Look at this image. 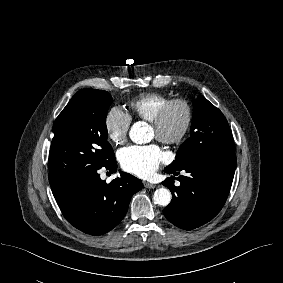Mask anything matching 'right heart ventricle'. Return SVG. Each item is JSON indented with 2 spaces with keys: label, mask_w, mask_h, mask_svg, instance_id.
Here are the masks:
<instances>
[{
  "label": "right heart ventricle",
  "mask_w": 283,
  "mask_h": 283,
  "mask_svg": "<svg viewBox=\"0 0 283 283\" xmlns=\"http://www.w3.org/2000/svg\"><path fill=\"white\" fill-rule=\"evenodd\" d=\"M169 99L170 97L163 93H142L129 101V116L151 122L155 118L161 106Z\"/></svg>",
  "instance_id": "e07e8e85"
}]
</instances>
